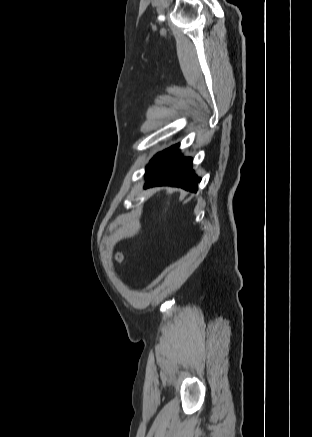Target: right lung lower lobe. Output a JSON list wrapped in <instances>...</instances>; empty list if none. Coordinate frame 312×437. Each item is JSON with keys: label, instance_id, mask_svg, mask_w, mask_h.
<instances>
[{"label": "right lung lower lobe", "instance_id": "98d812e1", "mask_svg": "<svg viewBox=\"0 0 312 437\" xmlns=\"http://www.w3.org/2000/svg\"><path fill=\"white\" fill-rule=\"evenodd\" d=\"M178 146H172L153 157L146 168L145 188L169 185L197 191L200 178L193 173L192 159L182 157Z\"/></svg>", "mask_w": 312, "mask_h": 437}]
</instances>
